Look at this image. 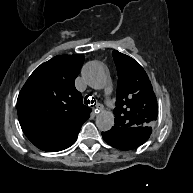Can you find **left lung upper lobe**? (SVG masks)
<instances>
[{
    "instance_id": "5c2ea615",
    "label": "left lung upper lobe",
    "mask_w": 193,
    "mask_h": 193,
    "mask_svg": "<svg viewBox=\"0 0 193 193\" xmlns=\"http://www.w3.org/2000/svg\"><path fill=\"white\" fill-rule=\"evenodd\" d=\"M118 72L115 126L127 131H137L154 124L158 115L156 96L150 80L133 58L113 51Z\"/></svg>"
}]
</instances>
